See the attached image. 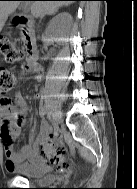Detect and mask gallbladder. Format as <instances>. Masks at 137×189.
Returning <instances> with one entry per match:
<instances>
[{"mask_svg":"<svg viewBox=\"0 0 137 189\" xmlns=\"http://www.w3.org/2000/svg\"><path fill=\"white\" fill-rule=\"evenodd\" d=\"M28 5L27 4H22L21 6H20V8H26Z\"/></svg>","mask_w":137,"mask_h":189,"instance_id":"obj_1","label":"gallbladder"}]
</instances>
